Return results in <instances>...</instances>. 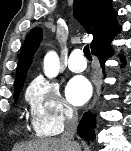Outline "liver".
Masks as SVG:
<instances>
[{"label": "liver", "mask_w": 131, "mask_h": 151, "mask_svg": "<svg viewBox=\"0 0 131 151\" xmlns=\"http://www.w3.org/2000/svg\"><path fill=\"white\" fill-rule=\"evenodd\" d=\"M13 151H76V145L62 139H40L15 146Z\"/></svg>", "instance_id": "obj_1"}]
</instances>
